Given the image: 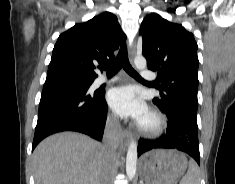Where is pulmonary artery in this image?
<instances>
[{
  "label": "pulmonary artery",
  "instance_id": "e3ab8cb5",
  "mask_svg": "<svg viewBox=\"0 0 235 184\" xmlns=\"http://www.w3.org/2000/svg\"><path fill=\"white\" fill-rule=\"evenodd\" d=\"M141 74H146V76L149 77V78L152 77V74L148 73V69H141ZM119 80H121L120 76H115V77H112V78H107L105 76H100L96 79V81L94 83V86L99 87L101 85L114 83V82H117Z\"/></svg>",
  "mask_w": 235,
  "mask_h": 184
}]
</instances>
